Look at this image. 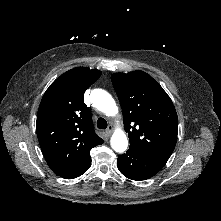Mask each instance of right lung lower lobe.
I'll use <instances>...</instances> for the list:
<instances>
[{"mask_svg":"<svg viewBox=\"0 0 221 221\" xmlns=\"http://www.w3.org/2000/svg\"><path fill=\"white\" fill-rule=\"evenodd\" d=\"M90 166H91V159L86 161L82 166H80V167L72 170L68 174L62 176V178H65V179L77 178L80 175H82L86 170H88Z\"/></svg>","mask_w":221,"mask_h":221,"instance_id":"right-lung-lower-lobe-1","label":"right lung lower lobe"}]
</instances>
